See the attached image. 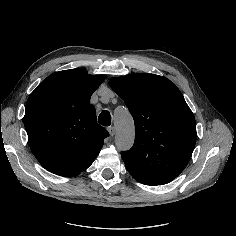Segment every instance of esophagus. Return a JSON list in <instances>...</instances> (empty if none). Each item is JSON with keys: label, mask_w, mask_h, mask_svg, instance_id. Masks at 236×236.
I'll return each mask as SVG.
<instances>
[{"label": "esophagus", "mask_w": 236, "mask_h": 236, "mask_svg": "<svg viewBox=\"0 0 236 236\" xmlns=\"http://www.w3.org/2000/svg\"><path fill=\"white\" fill-rule=\"evenodd\" d=\"M108 131H109V133H110L111 136H114L115 133H116V128H115L114 126H112V127H110V128L108 129Z\"/></svg>", "instance_id": "obj_1"}]
</instances>
